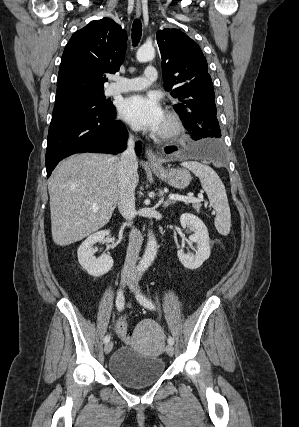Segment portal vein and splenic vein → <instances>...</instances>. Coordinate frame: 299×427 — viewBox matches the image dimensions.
<instances>
[{
    "mask_svg": "<svg viewBox=\"0 0 299 427\" xmlns=\"http://www.w3.org/2000/svg\"><path fill=\"white\" fill-rule=\"evenodd\" d=\"M169 199L177 200V201H183V202H200L201 200H203V196L201 194H199L198 198H195L193 196H180V195L170 194ZM213 214H214V212H213Z\"/></svg>",
    "mask_w": 299,
    "mask_h": 427,
    "instance_id": "18ae733b",
    "label": "portal vein and splenic vein"
}]
</instances>
